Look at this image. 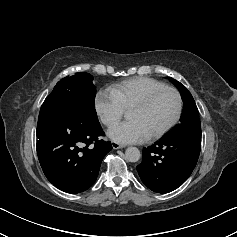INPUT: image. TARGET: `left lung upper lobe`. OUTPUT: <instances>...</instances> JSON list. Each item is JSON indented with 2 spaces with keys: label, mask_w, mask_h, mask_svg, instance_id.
<instances>
[{
  "label": "left lung upper lobe",
  "mask_w": 237,
  "mask_h": 237,
  "mask_svg": "<svg viewBox=\"0 0 237 237\" xmlns=\"http://www.w3.org/2000/svg\"><path fill=\"white\" fill-rule=\"evenodd\" d=\"M168 79L178 88L183 100V113L180 123L165 138H176L185 135H201V124L198 109L191 93L177 80Z\"/></svg>",
  "instance_id": "5c2ea615"
}]
</instances>
